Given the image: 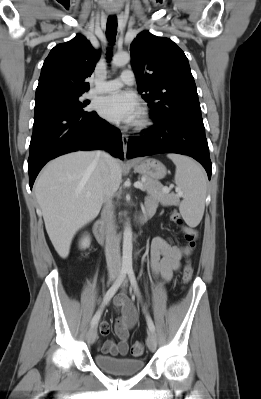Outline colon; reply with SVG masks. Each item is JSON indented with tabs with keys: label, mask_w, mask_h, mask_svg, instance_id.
I'll list each match as a JSON object with an SVG mask.
<instances>
[{
	"label": "colon",
	"mask_w": 261,
	"mask_h": 399,
	"mask_svg": "<svg viewBox=\"0 0 261 399\" xmlns=\"http://www.w3.org/2000/svg\"><path fill=\"white\" fill-rule=\"evenodd\" d=\"M170 218L173 221L181 223L180 216L175 211H172L170 213ZM185 238H186V240L188 242V245L191 248H194L195 245H196V236H195V234L192 233V232H187L186 235H185ZM192 275H193V269H192L191 264L188 262V263H186V265H185V267L183 269V282L184 283H188L191 280ZM143 352H144V344L142 342L136 341V342H134L132 344V346H131V354L133 356H140V355L143 354Z\"/></svg>",
	"instance_id": "colon-1"
}]
</instances>
